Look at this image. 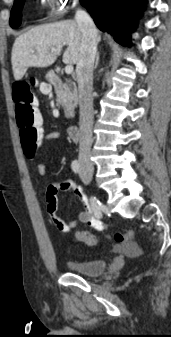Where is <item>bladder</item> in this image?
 <instances>
[{"instance_id": "obj_1", "label": "bladder", "mask_w": 171, "mask_h": 337, "mask_svg": "<svg viewBox=\"0 0 171 337\" xmlns=\"http://www.w3.org/2000/svg\"><path fill=\"white\" fill-rule=\"evenodd\" d=\"M67 267L71 272L95 277L104 273L106 261L103 259L69 260L67 261Z\"/></svg>"}]
</instances>
